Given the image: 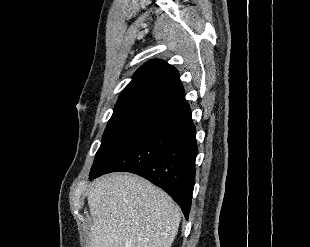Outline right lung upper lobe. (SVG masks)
Listing matches in <instances>:
<instances>
[{
  "instance_id": "obj_1",
  "label": "right lung upper lobe",
  "mask_w": 310,
  "mask_h": 247,
  "mask_svg": "<svg viewBox=\"0 0 310 247\" xmlns=\"http://www.w3.org/2000/svg\"><path fill=\"white\" fill-rule=\"evenodd\" d=\"M183 100L184 89L178 71L162 60H151L135 72L114 111L148 107L161 112Z\"/></svg>"
}]
</instances>
